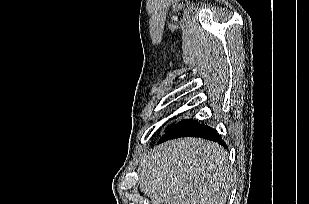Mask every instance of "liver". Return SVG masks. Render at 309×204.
<instances>
[{"mask_svg": "<svg viewBox=\"0 0 309 204\" xmlns=\"http://www.w3.org/2000/svg\"><path fill=\"white\" fill-rule=\"evenodd\" d=\"M231 184L228 153L200 138L158 145L139 166L141 192L158 204H226Z\"/></svg>", "mask_w": 309, "mask_h": 204, "instance_id": "1", "label": "liver"}]
</instances>
